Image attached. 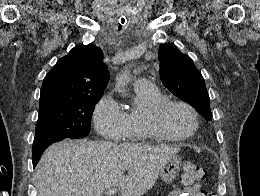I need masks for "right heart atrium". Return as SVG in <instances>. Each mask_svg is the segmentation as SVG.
Segmentation results:
<instances>
[{
  "label": "right heart atrium",
  "mask_w": 260,
  "mask_h": 196,
  "mask_svg": "<svg viewBox=\"0 0 260 196\" xmlns=\"http://www.w3.org/2000/svg\"><path fill=\"white\" fill-rule=\"evenodd\" d=\"M92 119L100 137L93 143H114L116 131L127 127L126 112L112 93H105L95 104Z\"/></svg>",
  "instance_id": "obj_1"
}]
</instances>
